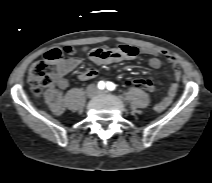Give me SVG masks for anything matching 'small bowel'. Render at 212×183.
I'll return each mask as SVG.
<instances>
[{
    "label": "small bowel",
    "instance_id": "small-bowel-1",
    "mask_svg": "<svg viewBox=\"0 0 212 183\" xmlns=\"http://www.w3.org/2000/svg\"><path fill=\"white\" fill-rule=\"evenodd\" d=\"M139 54H145L150 56L148 63L149 66L152 68L157 69L161 67L162 65L161 56H164L172 67L173 82L168 88L166 95L154 105V110L156 112H162L172 103L177 93L181 77L179 64L172 54L153 47H144L138 49L131 45H120L119 47L116 48H107V47L95 48L91 51L89 56L90 60L93 63L101 65V64H110L114 62H121L125 60H131L136 58ZM80 62L81 60L79 58H71L62 60L57 64L54 76V82L59 88L65 89L68 87V81L65 79V75L70 71H72L73 69H75L80 64ZM96 75H97L96 69L87 68L79 73L78 78L82 81H86L94 78ZM154 88L155 86L153 83V87L150 91H153ZM45 100L53 113L61 114L65 110L63 94L55 87H51L46 91Z\"/></svg>",
    "mask_w": 212,
    "mask_h": 183
}]
</instances>
